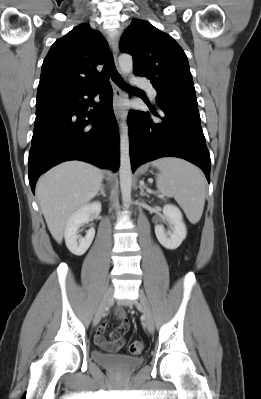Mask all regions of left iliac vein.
Returning a JSON list of instances; mask_svg holds the SVG:
<instances>
[{"label":"left iliac vein","mask_w":261,"mask_h":399,"mask_svg":"<svg viewBox=\"0 0 261 399\" xmlns=\"http://www.w3.org/2000/svg\"><path fill=\"white\" fill-rule=\"evenodd\" d=\"M136 306L142 308L144 320H145V326L149 333H153L154 320H153L152 311H151V308H150V305H149V302H148L146 296L142 292L139 293V299L136 302Z\"/></svg>","instance_id":"4c4485c4"}]
</instances>
